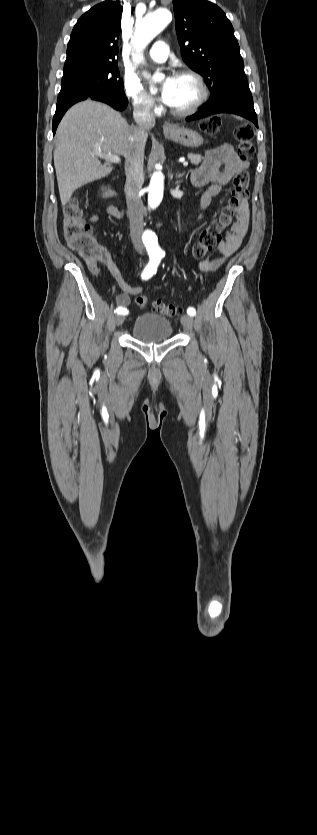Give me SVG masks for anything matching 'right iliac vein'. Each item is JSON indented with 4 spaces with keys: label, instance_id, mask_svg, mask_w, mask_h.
<instances>
[{
    "label": "right iliac vein",
    "instance_id": "obj_1",
    "mask_svg": "<svg viewBox=\"0 0 317 835\" xmlns=\"http://www.w3.org/2000/svg\"><path fill=\"white\" fill-rule=\"evenodd\" d=\"M123 322H124V316L123 315H117L115 317V323H116L117 326L121 325Z\"/></svg>",
    "mask_w": 317,
    "mask_h": 835
}]
</instances>
